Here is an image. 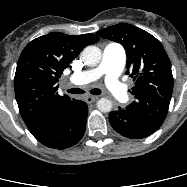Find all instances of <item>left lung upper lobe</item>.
Wrapping results in <instances>:
<instances>
[{"label": "left lung upper lobe", "instance_id": "5c2ea615", "mask_svg": "<svg viewBox=\"0 0 187 187\" xmlns=\"http://www.w3.org/2000/svg\"><path fill=\"white\" fill-rule=\"evenodd\" d=\"M122 44L127 54V74L135 81V101L126 111L160 128L164 122L173 91L171 63L162 44L150 33L127 23L97 32Z\"/></svg>", "mask_w": 187, "mask_h": 187}]
</instances>
